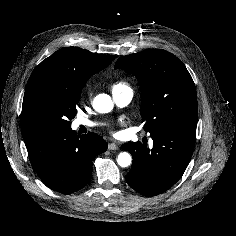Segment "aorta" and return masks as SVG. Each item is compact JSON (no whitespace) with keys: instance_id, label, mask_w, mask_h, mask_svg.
Masks as SVG:
<instances>
[{"instance_id":"obj_1","label":"aorta","mask_w":236,"mask_h":236,"mask_svg":"<svg viewBox=\"0 0 236 236\" xmlns=\"http://www.w3.org/2000/svg\"><path fill=\"white\" fill-rule=\"evenodd\" d=\"M93 107L100 113H108L113 109V102L109 95L99 94L93 102ZM131 155L127 152H121L118 155L117 163L121 167H128L131 164Z\"/></svg>"}]
</instances>
